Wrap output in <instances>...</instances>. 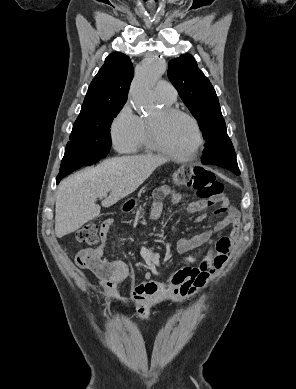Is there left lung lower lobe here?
I'll list each match as a JSON object with an SVG mask.
<instances>
[{"label": "left lung lower lobe", "mask_w": 296, "mask_h": 389, "mask_svg": "<svg viewBox=\"0 0 296 389\" xmlns=\"http://www.w3.org/2000/svg\"><path fill=\"white\" fill-rule=\"evenodd\" d=\"M202 164H214L239 175L235 151L227 130L222 131L207 148H204Z\"/></svg>", "instance_id": "1"}]
</instances>
